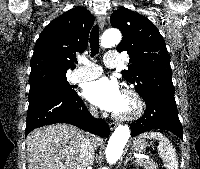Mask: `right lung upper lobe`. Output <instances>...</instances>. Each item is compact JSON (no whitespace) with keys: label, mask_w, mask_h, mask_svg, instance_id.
<instances>
[{"label":"right lung upper lobe","mask_w":200,"mask_h":169,"mask_svg":"<svg viewBox=\"0 0 200 169\" xmlns=\"http://www.w3.org/2000/svg\"><path fill=\"white\" fill-rule=\"evenodd\" d=\"M94 17L82 7L73 8L51 21L41 32L30 66V86L48 79H65L74 66L76 52L88 45L89 31Z\"/></svg>","instance_id":"1"}]
</instances>
